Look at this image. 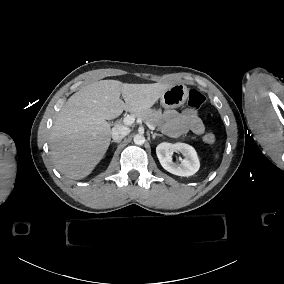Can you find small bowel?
I'll return each instance as SVG.
<instances>
[{"label":"small bowel","mask_w":284,"mask_h":284,"mask_svg":"<svg viewBox=\"0 0 284 284\" xmlns=\"http://www.w3.org/2000/svg\"><path fill=\"white\" fill-rule=\"evenodd\" d=\"M165 120V133L172 137H178L187 132L200 135L204 132V125L198 113L191 109L165 110L163 112Z\"/></svg>","instance_id":"1"}]
</instances>
